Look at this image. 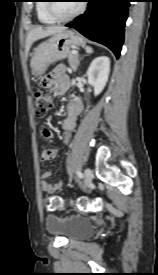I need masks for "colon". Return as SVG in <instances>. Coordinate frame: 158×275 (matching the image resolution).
I'll use <instances>...</instances> for the list:
<instances>
[{
  "mask_svg": "<svg viewBox=\"0 0 158 275\" xmlns=\"http://www.w3.org/2000/svg\"><path fill=\"white\" fill-rule=\"evenodd\" d=\"M43 85L47 87L48 81L44 79L42 81ZM33 102L35 106V115L37 117H43L52 107L51 96L41 90L35 91L33 94ZM63 200L58 196H46L44 198V205L47 210H59L63 207ZM77 206L82 211H96L100 210L103 206L101 200H90L88 198H79L77 200Z\"/></svg>",
  "mask_w": 158,
  "mask_h": 275,
  "instance_id": "colon-1",
  "label": "colon"
}]
</instances>
